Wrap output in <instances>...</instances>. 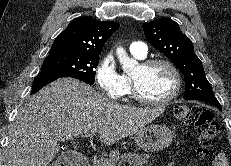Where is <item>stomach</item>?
I'll use <instances>...</instances> for the list:
<instances>
[{
	"instance_id": "stomach-1",
	"label": "stomach",
	"mask_w": 231,
	"mask_h": 166,
	"mask_svg": "<svg viewBox=\"0 0 231 166\" xmlns=\"http://www.w3.org/2000/svg\"><path fill=\"white\" fill-rule=\"evenodd\" d=\"M174 138L169 127L153 124L137 131L134 135L135 144L144 151H160L168 147Z\"/></svg>"
}]
</instances>
